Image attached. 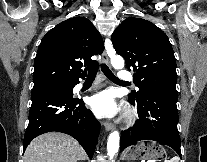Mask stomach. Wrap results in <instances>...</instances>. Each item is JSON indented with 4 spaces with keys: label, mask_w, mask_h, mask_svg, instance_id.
<instances>
[{
    "label": "stomach",
    "mask_w": 207,
    "mask_h": 162,
    "mask_svg": "<svg viewBox=\"0 0 207 162\" xmlns=\"http://www.w3.org/2000/svg\"><path fill=\"white\" fill-rule=\"evenodd\" d=\"M165 150L162 146L157 145L155 142H140L135 146L129 148L124 157L126 160H157L165 157Z\"/></svg>",
    "instance_id": "obj_1"
}]
</instances>
